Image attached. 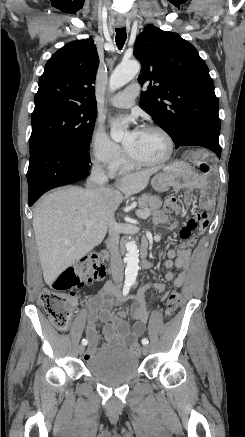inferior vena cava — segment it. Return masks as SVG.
<instances>
[{"label": "inferior vena cava", "mask_w": 245, "mask_h": 437, "mask_svg": "<svg viewBox=\"0 0 245 437\" xmlns=\"http://www.w3.org/2000/svg\"><path fill=\"white\" fill-rule=\"evenodd\" d=\"M90 182L100 190L105 189L108 183V177L105 171L97 163L92 167ZM113 224L114 221L113 218H111L109 221L110 234L107 240V248L110 252V272L114 282L121 283L123 281L124 268L119 251V235L113 231Z\"/></svg>", "instance_id": "inferior-vena-cava-1"}]
</instances>
